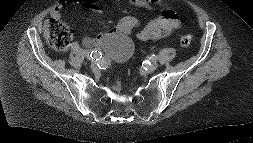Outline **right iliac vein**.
I'll return each instance as SVG.
<instances>
[{"label":"right iliac vein","mask_w":253,"mask_h":143,"mask_svg":"<svg viewBox=\"0 0 253 143\" xmlns=\"http://www.w3.org/2000/svg\"><path fill=\"white\" fill-rule=\"evenodd\" d=\"M91 69H93V70L96 69V63L95 62L91 63Z\"/></svg>","instance_id":"obj_1"}]
</instances>
